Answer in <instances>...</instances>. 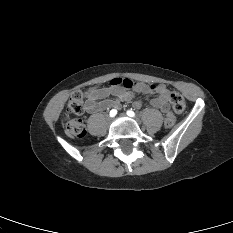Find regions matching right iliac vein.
<instances>
[{
	"mask_svg": "<svg viewBox=\"0 0 233 233\" xmlns=\"http://www.w3.org/2000/svg\"><path fill=\"white\" fill-rule=\"evenodd\" d=\"M108 120H109V121H111V120H112V118H111V117H109V118H108Z\"/></svg>",
	"mask_w": 233,
	"mask_h": 233,
	"instance_id": "1",
	"label": "right iliac vein"
}]
</instances>
